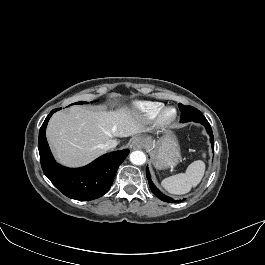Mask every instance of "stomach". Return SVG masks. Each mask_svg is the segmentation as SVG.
Instances as JSON below:
<instances>
[{
    "instance_id": "0dacf381",
    "label": "stomach",
    "mask_w": 265,
    "mask_h": 265,
    "mask_svg": "<svg viewBox=\"0 0 265 265\" xmlns=\"http://www.w3.org/2000/svg\"><path fill=\"white\" fill-rule=\"evenodd\" d=\"M144 146L152 153L153 164L157 169L174 167L180 160V147L176 137L168 133L164 137L154 140L151 137H143Z\"/></svg>"
}]
</instances>
